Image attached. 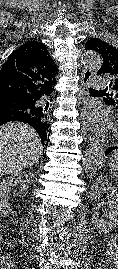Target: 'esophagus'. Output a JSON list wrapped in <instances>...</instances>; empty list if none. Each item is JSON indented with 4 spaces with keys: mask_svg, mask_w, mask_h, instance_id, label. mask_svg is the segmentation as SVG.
Returning <instances> with one entry per match:
<instances>
[{
    "mask_svg": "<svg viewBox=\"0 0 118 269\" xmlns=\"http://www.w3.org/2000/svg\"><path fill=\"white\" fill-rule=\"evenodd\" d=\"M92 77V72L90 70H83L81 74V87H80V102H84L87 99L89 92V83ZM81 132L87 143H93L94 136L89 132L88 126L83 122Z\"/></svg>",
    "mask_w": 118,
    "mask_h": 269,
    "instance_id": "obj_1",
    "label": "esophagus"
}]
</instances>
